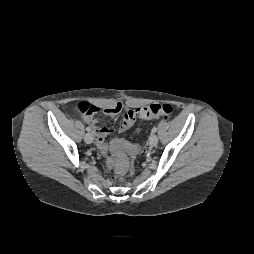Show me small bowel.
Wrapping results in <instances>:
<instances>
[{
    "label": "small bowel",
    "mask_w": 254,
    "mask_h": 254,
    "mask_svg": "<svg viewBox=\"0 0 254 254\" xmlns=\"http://www.w3.org/2000/svg\"><path fill=\"white\" fill-rule=\"evenodd\" d=\"M98 112H101L110 118L122 114L123 119L119 126V132L121 133L130 129L136 121V116L133 113V109L127 107L122 102H118L113 106L105 108L97 107L96 113ZM88 122L95 134L97 146L102 152H106L108 149L106 138L113 132V130L108 127L101 126L100 121L97 119L88 118ZM137 152H138L137 146H133L132 148L129 149V154L131 156H135Z\"/></svg>",
    "instance_id": "obj_1"
}]
</instances>
